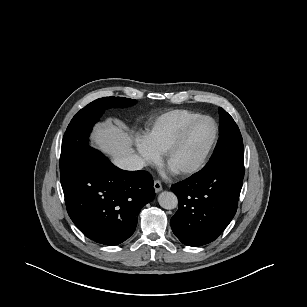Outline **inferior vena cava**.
Masks as SVG:
<instances>
[{"mask_svg":"<svg viewBox=\"0 0 307 307\" xmlns=\"http://www.w3.org/2000/svg\"><path fill=\"white\" fill-rule=\"evenodd\" d=\"M115 164L119 168L129 171L141 170L145 166L144 160L135 154L118 158L116 159Z\"/></svg>","mask_w":307,"mask_h":307,"instance_id":"602c4592","label":"inferior vena cava"}]
</instances>
